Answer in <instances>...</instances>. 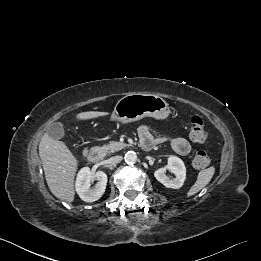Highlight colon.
Masks as SVG:
<instances>
[{
  "label": "colon",
  "instance_id": "colon-1",
  "mask_svg": "<svg viewBox=\"0 0 261 261\" xmlns=\"http://www.w3.org/2000/svg\"><path fill=\"white\" fill-rule=\"evenodd\" d=\"M206 135L207 132L203 120L198 116L192 117L190 122V137L192 141L202 143L205 141ZM210 162V156L204 151H198L194 156V164L199 168L208 166Z\"/></svg>",
  "mask_w": 261,
  "mask_h": 261
}]
</instances>
